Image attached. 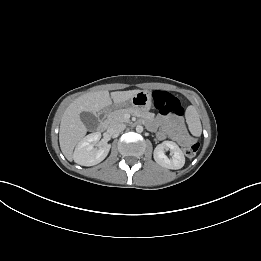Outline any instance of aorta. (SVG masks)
Returning <instances> with one entry per match:
<instances>
[{"mask_svg": "<svg viewBox=\"0 0 261 261\" xmlns=\"http://www.w3.org/2000/svg\"><path fill=\"white\" fill-rule=\"evenodd\" d=\"M136 131H137L138 133L143 132V127H142L141 125H138V126L136 127Z\"/></svg>", "mask_w": 261, "mask_h": 261, "instance_id": "obj_1", "label": "aorta"}]
</instances>
